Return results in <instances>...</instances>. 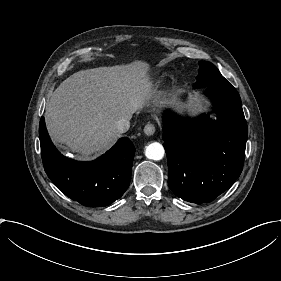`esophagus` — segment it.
I'll return each mask as SVG.
<instances>
[{
  "mask_svg": "<svg viewBox=\"0 0 281 281\" xmlns=\"http://www.w3.org/2000/svg\"><path fill=\"white\" fill-rule=\"evenodd\" d=\"M156 128L153 124H146L144 127V133L148 136H151L155 133Z\"/></svg>",
  "mask_w": 281,
  "mask_h": 281,
  "instance_id": "esophagus-1",
  "label": "esophagus"
}]
</instances>
